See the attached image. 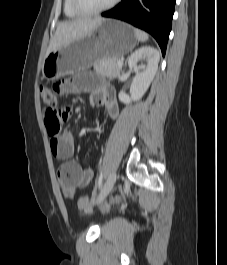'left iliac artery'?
Returning <instances> with one entry per match:
<instances>
[{"label":"left iliac artery","mask_w":227,"mask_h":265,"mask_svg":"<svg viewBox=\"0 0 227 265\" xmlns=\"http://www.w3.org/2000/svg\"><path fill=\"white\" fill-rule=\"evenodd\" d=\"M102 182H103V170L101 169L99 178H98V182H97V187L100 188L102 186Z\"/></svg>","instance_id":"44dca946"}]
</instances>
